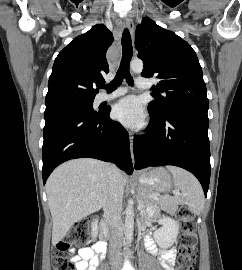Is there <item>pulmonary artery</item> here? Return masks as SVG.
Wrapping results in <instances>:
<instances>
[{"mask_svg": "<svg viewBox=\"0 0 242 270\" xmlns=\"http://www.w3.org/2000/svg\"><path fill=\"white\" fill-rule=\"evenodd\" d=\"M136 87L143 90V89L150 88L151 85L145 78H137ZM126 92H127V89L125 87H118L115 90L110 91V92H102L98 96V100L99 102L111 100V99L124 95Z\"/></svg>", "mask_w": 242, "mask_h": 270, "instance_id": "obj_1", "label": "pulmonary artery"}]
</instances>
